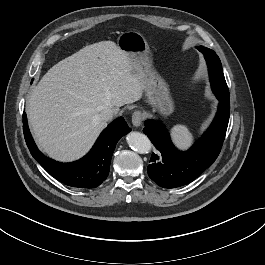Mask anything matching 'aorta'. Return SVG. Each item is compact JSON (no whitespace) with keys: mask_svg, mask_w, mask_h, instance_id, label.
I'll return each mask as SVG.
<instances>
[{"mask_svg":"<svg viewBox=\"0 0 265 265\" xmlns=\"http://www.w3.org/2000/svg\"><path fill=\"white\" fill-rule=\"evenodd\" d=\"M126 139L129 147L138 153H149L152 148V143L145 134L131 132L127 135Z\"/></svg>","mask_w":265,"mask_h":265,"instance_id":"obj_1","label":"aorta"}]
</instances>
